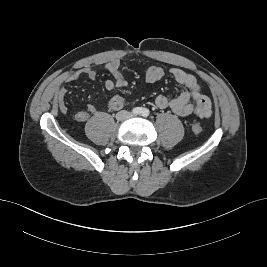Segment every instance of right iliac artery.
<instances>
[{
	"mask_svg": "<svg viewBox=\"0 0 267 267\" xmlns=\"http://www.w3.org/2000/svg\"><path fill=\"white\" fill-rule=\"evenodd\" d=\"M132 113L137 115V114H141L142 113V108L140 107H136L132 110Z\"/></svg>",
	"mask_w": 267,
	"mask_h": 267,
	"instance_id": "82829eb1",
	"label": "right iliac artery"
}]
</instances>
